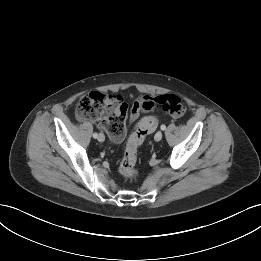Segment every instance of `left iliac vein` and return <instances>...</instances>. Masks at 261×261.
<instances>
[{"label": "left iliac vein", "instance_id": "left-iliac-vein-1", "mask_svg": "<svg viewBox=\"0 0 261 261\" xmlns=\"http://www.w3.org/2000/svg\"><path fill=\"white\" fill-rule=\"evenodd\" d=\"M162 132L161 131H158L156 134H155V136H154V139H155V141H160L161 139H162Z\"/></svg>", "mask_w": 261, "mask_h": 261}]
</instances>
